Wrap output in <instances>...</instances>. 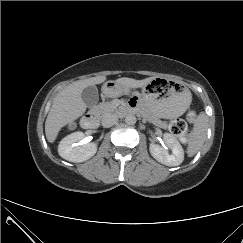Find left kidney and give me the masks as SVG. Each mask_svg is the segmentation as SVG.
I'll use <instances>...</instances> for the list:
<instances>
[{
	"label": "left kidney",
	"mask_w": 243,
	"mask_h": 243,
	"mask_svg": "<svg viewBox=\"0 0 243 243\" xmlns=\"http://www.w3.org/2000/svg\"><path fill=\"white\" fill-rule=\"evenodd\" d=\"M163 140L172 153L170 154L167 148L151 143L149 150L153 158L166 166L180 165L184 160V150L179 141L170 133H165Z\"/></svg>",
	"instance_id": "obj_1"
}]
</instances>
